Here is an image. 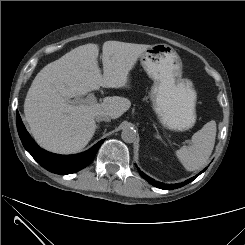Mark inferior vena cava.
Listing matches in <instances>:
<instances>
[{"instance_id": "1", "label": "inferior vena cava", "mask_w": 245, "mask_h": 245, "mask_svg": "<svg viewBox=\"0 0 245 245\" xmlns=\"http://www.w3.org/2000/svg\"><path fill=\"white\" fill-rule=\"evenodd\" d=\"M95 119H96V121H110L111 120V118L108 116V115H106V114H102V113H99V114H97L96 115V117H95Z\"/></svg>"}]
</instances>
